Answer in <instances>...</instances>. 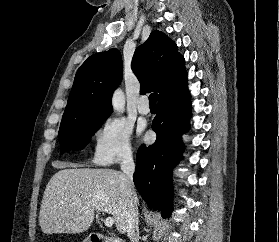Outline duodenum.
<instances>
[{"mask_svg":"<svg viewBox=\"0 0 279 242\" xmlns=\"http://www.w3.org/2000/svg\"><path fill=\"white\" fill-rule=\"evenodd\" d=\"M91 242H123L121 239L112 238L109 236H105L103 234H93L91 235Z\"/></svg>","mask_w":279,"mask_h":242,"instance_id":"duodenum-1","label":"duodenum"}]
</instances>
